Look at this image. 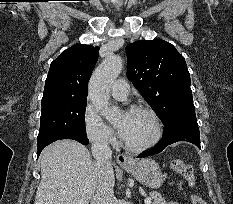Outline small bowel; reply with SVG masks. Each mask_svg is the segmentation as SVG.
Returning <instances> with one entry per match:
<instances>
[{"label":"small bowel","instance_id":"1","mask_svg":"<svg viewBox=\"0 0 233 204\" xmlns=\"http://www.w3.org/2000/svg\"><path fill=\"white\" fill-rule=\"evenodd\" d=\"M168 204H179V203H176V202H171V203H168Z\"/></svg>","mask_w":233,"mask_h":204}]
</instances>
